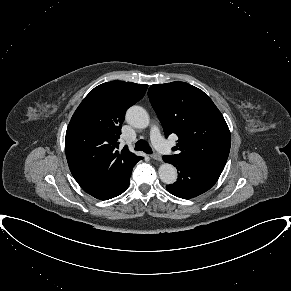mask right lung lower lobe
<instances>
[{
  "mask_svg": "<svg viewBox=\"0 0 291 291\" xmlns=\"http://www.w3.org/2000/svg\"><path fill=\"white\" fill-rule=\"evenodd\" d=\"M128 186H129V181L125 184V186L123 187V189L121 190V192L118 195H120L121 193H123L128 188Z\"/></svg>",
  "mask_w": 291,
  "mask_h": 291,
  "instance_id": "obj_1",
  "label": "right lung lower lobe"
}]
</instances>
